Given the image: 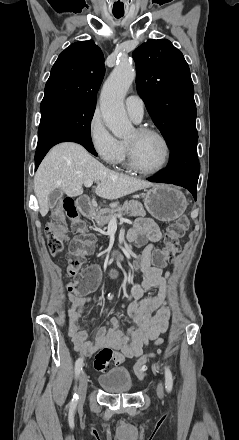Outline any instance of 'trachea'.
I'll return each instance as SVG.
<instances>
[{
	"instance_id": "trachea-1",
	"label": "trachea",
	"mask_w": 239,
	"mask_h": 440,
	"mask_svg": "<svg viewBox=\"0 0 239 440\" xmlns=\"http://www.w3.org/2000/svg\"><path fill=\"white\" fill-rule=\"evenodd\" d=\"M113 15H114L116 18H121V17H123L124 14H117V13H114Z\"/></svg>"
}]
</instances>
